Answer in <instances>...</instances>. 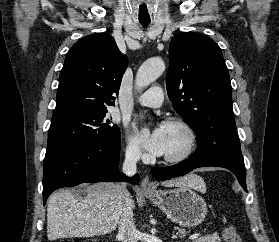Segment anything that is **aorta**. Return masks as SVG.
Returning a JSON list of instances; mask_svg holds the SVG:
<instances>
[{"label":"aorta","instance_id":"aorta-1","mask_svg":"<svg viewBox=\"0 0 279 242\" xmlns=\"http://www.w3.org/2000/svg\"><path fill=\"white\" fill-rule=\"evenodd\" d=\"M165 70L164 61L159 58H151L145 61L137 71L136 85L139 88L146 87L155 81Z\"/></svg>","mask_w":279,"mask_h":242}]
</instances>
